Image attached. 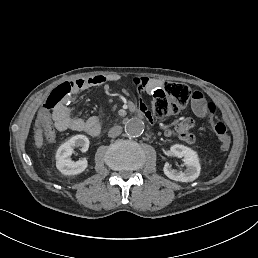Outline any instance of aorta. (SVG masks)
I'll use <instances>...</instances> for the list:
<instances>
[{"label": "aorta", "instance_id": "1", "mask_svg": "<svg viewBox=\"0 0 258 258\" xmlns=\"http://www.w3.org/2000/svg\"><path fill=\"white\" fill-rule=\"evenodd\" d=\"M144 122L139 118H131L125 123V133L129 137H139L144 132Z\"/></svg>", "mask_w": 258, "mask_h": 258}]
</instances>
